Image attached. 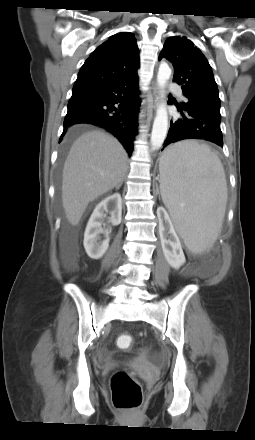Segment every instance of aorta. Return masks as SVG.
<instances>
[{"instance_id": "obj_1", "label": "aorta", "mask_w": 255, "mask_h": 440, "mask_svg": "<svg viewBox=\"0 0 255 440\" xmlns=\"http://www.w3.org/2000/svg\"><path fill=\"white\" fill-rule=\"evenodd\" d=\"M171 76V69L166 63H161L157 74V83L160 87L162 97H164L163 89ZM168 131V113L165 103L159 104L153 123L151 134V147L156 150L162 147Z\"/></svg>"}]
</instances>
